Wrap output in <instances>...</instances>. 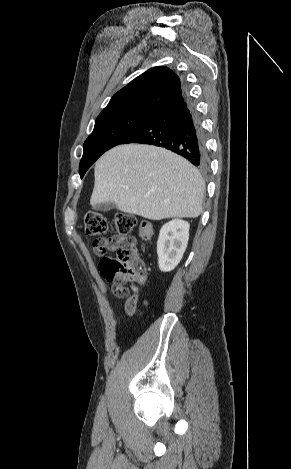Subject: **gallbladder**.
<instances>
[{
    "instance_id": "1",
    "label": "gallbladder",
    "mask_w": 291,
    "mask_h": 469,
    "mask_svg": "<svg viewBox=\"0 0 291 469\" xmlns=\"http://www.w3.org/2000/svg\"><path fill=\"white\" fill-rule=\"evenodd\" d=\"M115 207L113 203H100L94 207L95 210L108 212Z\"/></svg>"
}]
</instances>
